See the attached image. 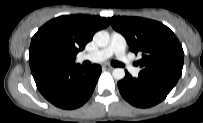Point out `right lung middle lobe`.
Listing matches in <instances>:
<instances>
[{"label":"right lung middle lobe","instance_id":"1","mask_svg":"<svg viewBox=\"0 0 203 123\" xmlns=\"http://www.w3.org/2000/svg\"><path fill=\"white\" fill-rule=\"evenodd\" d=\"M72 62V57L60 41L52 37H40L31 40L29 49V64L31 69L69 65Z\"/></svg>","mask_w":203,"mask_h":123}]
</instances>
